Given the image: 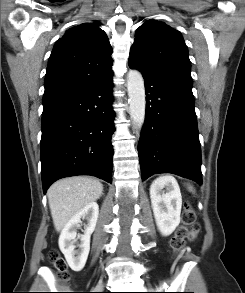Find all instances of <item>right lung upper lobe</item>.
I'll return each instance as SVG.
<instances>
[{"mask_svg": "<svg viewBox=\"0 0 245 293\" xmlns=\"http://www.w3.org/2000/svg\"><path fill=\"white\" fill-rule=\"evenodd\" d=\"M99 25V22L83 23L57 40L45 76L44 107L113 75L112 48Z\"/></svg>", "mask_w": 245, "mask_h": 293, "instance_id": "right-lung-upper-lobe-1", "label": "right lung upper lobe"}]
</instances>
